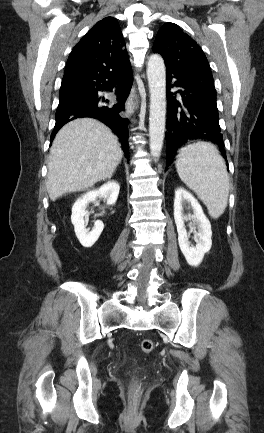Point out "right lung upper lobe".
Listing matches in <instances>:
<instances>
[{
	"mask_svg": "<svg viewBox=\"0 0 264 433\" xmlns=\"http://www.w3.org/2000/svg\"><path fill=\"white\" fill-rule=\"evenodd\" d=\"M128 64L130 61L119 24L115 18L105 17L73 48L64 75L102 67L120 68Z\"/></svg>",
	"mask_w": 264,
	"mask_h": 433,
	"instance_id": "1",
	"label": "right lung upper lobe"
}]
</instances>
